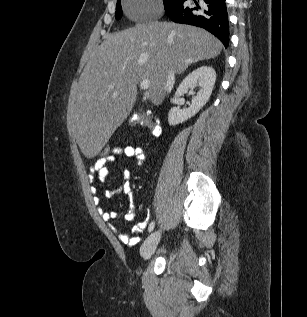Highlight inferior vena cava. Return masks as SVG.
I'll return each mask as SVG.
<instances>
[{"instance_id":"obj_1","label":"inferior vena cava","mask_w":307,"mask_h":317,"mask_svg":"<svg viewBox=\"0 0 307 317\" xmlns=\"http://www.w3.org/2000/svg\"><path fill=\"white\" fill-rule=\"evenodd\" d=\"M174 82H175V75H174V72L170 70L167 75V82L165 86V90L167 91V93L171 92Z\"/></svg>"}]
</instances>
